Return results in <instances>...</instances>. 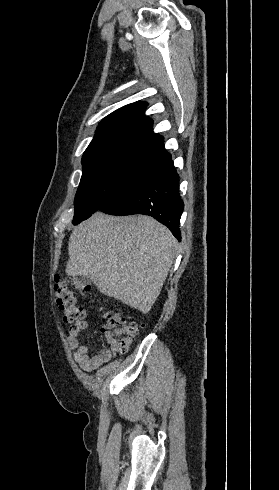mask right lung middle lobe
<instances>
[{"mask_svg": "<svg viewBox=\"0 0 279 490\" xmlns=\"http://www.w3.org/2000/svg\"><path fill=\"white\" fill-rule=\"evenodd\" d=\"M157 164L113 160L83 166L81 181L75 196L72 223L79 224L98 211L112 193L147 178Z\"/></svg>", "mask_w": 279, "mask_h": 490, "instance_id": "1", "label": "right lung middle lobe"}]
</instances>
